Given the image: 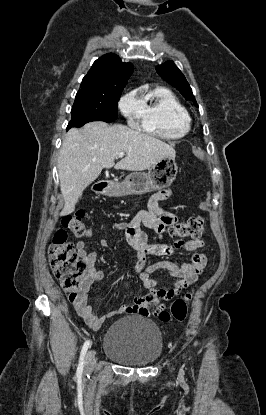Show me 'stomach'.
Segmentation results:
<instances>
[{
	"label": "stomach",
	"mask_w": 266,
	"mask_h": 415,
	"mask_svg": "<svg viewBox=\"0 0 266 415\" xmlns=\"http://www.w3.org/2000/svg\"><path fill=\"white\" fill-rule=\"evenodd\" d=\"M178 171L175 158L164 157L157 161L145 173L129 175L121 185H108L103 194L108 197H120L129 194H145L153 190L169 187L176 178Z\"/></svg>",
	"instance_id": "stomach-1"
}]
</instances>
